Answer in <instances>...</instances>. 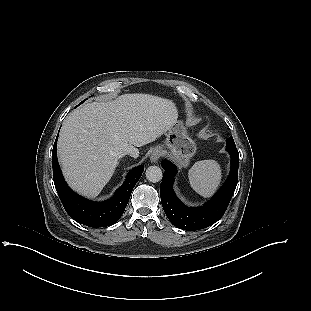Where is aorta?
Listing matches in <instances>:
<instances>
[{"instance_id": "762f6f07", "label": "aorta", "mask_w": 311, "mask_h": 311, "mask_svg": "<svg viewBox=\"0 0 311 311\" xmlns=\"http://www.w3.org/2000/svg\"><path fill=\"white\" fill-rule=\"evenodd\" d=\"M146 179L149 182L156 183L162 179L163 173L158 166H149L145 172Z\"/></svg>"}]
</instances>
